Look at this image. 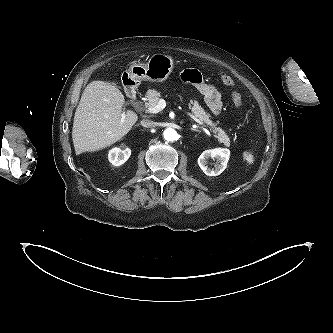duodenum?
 Listing matches in <instances>:
<instances>
[{
    "instance_id": "410a0bca",
    "label": "duodenum",
    "mask_w": 333,
    "mask_h": 333,
    "mask_svg": "<svg viewBox=\"0 0 333 333\" xmlns=\"http://www.w3.org/2000/svg\"><path fill=\"white\" fill-rule=\"evenodd\" d=\"M125 90H126L127 95L131 99H135L136 98V87H135V84L129 78L125 80Z\"/></svg>"
}]
</instances>
